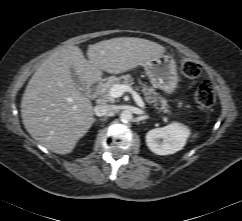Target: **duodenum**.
<instances>
[{"mask_svg":"<svg viewBox=\"0 0 242 221\" xmlns=\"http://www.w3.org/2000/svg\"><path fill=\"white\" fill-rule=\"evenodd\" d=\"M99 82H100V79L97 78V79H94L89 87H88V96L90 98H94L96 97V95L98 94V91H99Z\"/></svg>","mask_w":242,"mask_h":221,"instance_id":"obj_1","label":"duodenum"}]
</instances>
